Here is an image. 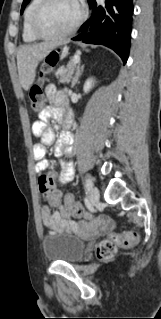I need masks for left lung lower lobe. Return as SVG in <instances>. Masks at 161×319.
Wrapping results in <instances>:
<instances>
[{
  "label": "left lung lower lobe",
  "mask_w": 161,
  "mask_h": 319,
  "mask_svg": "<svg viewBox=\"0 0 161 319\" xmlns=\"http://www.w3.org/2000/svg\"><path fill=\"white\" fill-rule=\"evenodd\" d=\"M88 3L92 15L72 40L105 45L113 49L125 64L130 49L132 0H105V5H98L95 0H88Z\"/></svg>",
  "instance_id": "obj_1"
}]
</instances>
